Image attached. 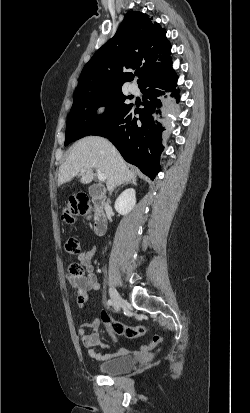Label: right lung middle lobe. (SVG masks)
I'll return each mask as SVG.
<instances>
[{"instance_id":"dd1d6c3e","label":"right lung middle lobe","mask_w":250,"mask_h":413,"mask_svg":"<svg viewBox=\"0 0 250 413\" xmlns=\"http://www.w3.org/2000/svg\"><path fill=\"white\" fill-rule=\"evenodd\" d=\"M127 98L121 88L74 95L67 120L65 146L91 135L109 123L130 105L126 103ZM100 106H106V111L101 116H97L96 110Z\"/></svg>"}]
</instances>
